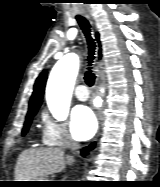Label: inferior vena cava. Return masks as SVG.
Masks as SVG:
<instances>
[{
	"mask_svg": "<svg viewBox=\"0 0 160 187\" xmlns=\"http://www.w3.org/2000/svg\"><path fill=\"white\" fill-rule=\"evenodd\" d=\"M69 147H70V148H76V147H77V144H75V143H70V144H69Z\"/></svg>",
	"mask_w": 160,
	"mask_h": 187,
	"instance_id": "inferior-vena-cava-1",
	"label": "inferior vena cava"
}]
</instances>
